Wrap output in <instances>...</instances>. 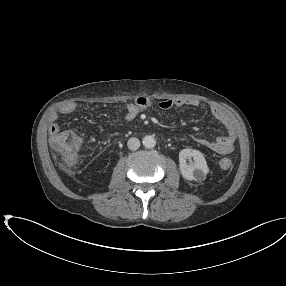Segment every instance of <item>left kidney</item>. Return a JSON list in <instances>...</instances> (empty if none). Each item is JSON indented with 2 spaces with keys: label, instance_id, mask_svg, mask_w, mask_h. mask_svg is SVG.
I'll return each mask as SVG.
<instances>
[{
  "label": "left kidney",
  "instance_id": "obj_1",
  "mask_svg": "<svg viewBox=\"0 0 286 286\" xmlns=\"http://www.w3.org/2000/svg\"><path fill=\"white\" fill-rule=\"evenodd\" d=\"M194 161H192V159ZM187 160L189 163H187ZM179 169L186 180L203 181L209 173L204 155L195 149H183L179 153Z\"/></svg>",
  "mask_w": 286,
  "mask_h": 286
}]
</instances>
